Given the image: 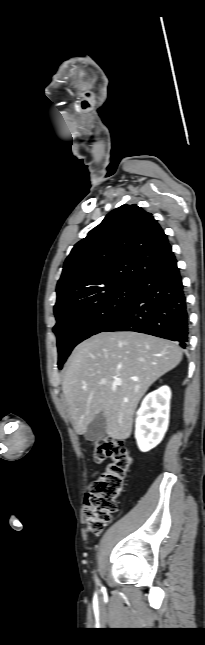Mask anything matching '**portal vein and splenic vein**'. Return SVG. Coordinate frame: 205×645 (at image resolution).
<instances>
[{"label":"portal vein and splenic vein","mask_w":205,"mask_h":645,"mask_svg":"<svg viewBox=\"0 0 205 645\" xmlns=\"http://www.w3.org/2000/svg\"><path fill=\"white\" fill-rule=\"evenodd\" d=\"M114 384L117 385V386H121L122 381L120 379H115Z\"/></svg>","instance_id":"1"}]
</instances>
